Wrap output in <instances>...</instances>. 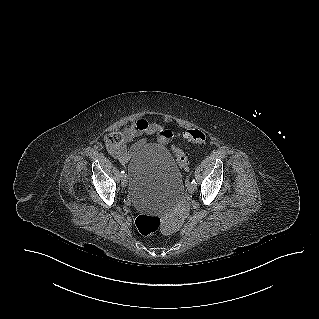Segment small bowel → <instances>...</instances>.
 I'll return each instance as SVG.
<instances>
[{
    "label": "small bowel",
    "mask_w": 319,
    "mask_h": 319,
    "mask_svg": "<svg viewBox=\"0 0 319 319\" xmlns=\"http://www.w3.org/2000/svg\"><path fill=\"white\" fill-rule=\"evenodd\" d=\"M141 136H154L160 143L166 144L174 134L156 122L140 118L122 130L118 127L109 128L104 134V141L109 154L121 164H126L146 143L145 138L136 140Z\"/></svg>",
    "instance_id": "c3829d8e"
}]
</instances>
